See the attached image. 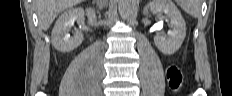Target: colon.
<instances>
[{
    "mask_svg": "<svg viewBox=\"0 0 232 96\" xmlns=\"http://www.w3.org/2000/svg\"><path fill=\"white\" fill-rule=\"evenodd\" d=\"M167 77L170 81V86L172 89H179L182 85V74L177 66H170L167 69Z\"/></svg>",
    "mask_w": 232,
    "mask_h": 96,
    "instance_id": "obj_1",
    "label": "colon"
}]
</instances>
